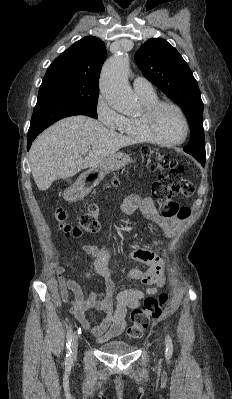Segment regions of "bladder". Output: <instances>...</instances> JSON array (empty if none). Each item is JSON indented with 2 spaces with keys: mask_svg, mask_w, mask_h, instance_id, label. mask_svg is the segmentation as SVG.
I'll list each match as a JSON object with an SVG mask.
<instances>
[{
  "mask_svg": "<svg viewBox=\"0 0 232 399\" xmlns=\"http://www.w3.org/2000/svg\"><path fill=\"white\" fill-rule=\"evenodd\" d=\"M99 350L105 354L123 355L131 353L134 348L122 341H110L101 344Z\"/></svg>",
  "mask_w": 232,
  "mask_h": 399,
  "instance_id": "1",
  "label": "bladder"
}]
</instances>
